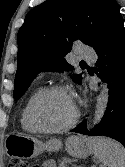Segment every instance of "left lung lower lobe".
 I'll return each mask as SVG.
<instances>
[{"mask_svg": "<svg viewBox=\"0 0 125 167\" xmlns=\"http://www.w3.org/2000/svg\"><path fill=\"white\" fill-rule=\"evenodd\" d=\"M98 77L108 84L109 101L102 121L88 130L86 120L71 132L107 136L125 147V29L122 17L111 26L104 40L94 47Z\"/></svg>", "mask_w": 125, "mask_h": 167, "instance_id": "1", "label": "left lung lower lobe"}]
</instances>
